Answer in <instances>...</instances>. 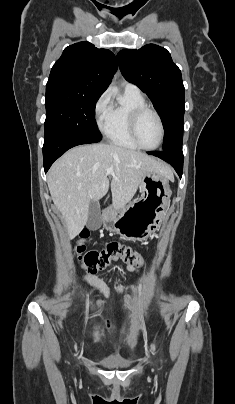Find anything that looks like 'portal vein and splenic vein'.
Returning <instances> with one entry per match:
<instances>
[{"instance_id": "obj_1", "label": "portal vein and splenic vein", "mask_w": 235, "mask_h": 404, "mask_svg": "<svg viewBox=\"0 0 235 404\" xmlns=\"http://www.w3.org/2000/svg\"><path fill=\"white\" fill-rule=\"evenodd\" d=\"M105 172H106L107 174H114V170H113L112 168H107V169H105Z\"/></svg>"}]
</instances>
